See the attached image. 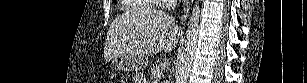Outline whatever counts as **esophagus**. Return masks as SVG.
I'll return each mask as SVG.
<instances>
[{
    "mask_svg": "<svg viewBox=\"0 0 307 83\" xmlns=\"http://www.w3.org/2000/svg\"><path fill=\"white\" fill-rule=\"evenodd\" d=\"M193 0H185L183 3V9H182V14L180 17L181 23L185 24V21L188 17L190 6L192 4Z\"/></svg>",
    "mask_w": 307,
    "mask_h": 83,
    "instance_id": "34e87169",
    "label": "esophagus"
}]
</instances>
